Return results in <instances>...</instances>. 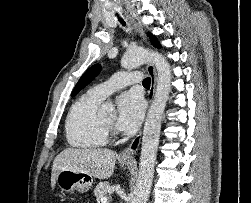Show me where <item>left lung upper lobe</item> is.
Returning a JSON list of instances; mask_svg holds the SVG:
<instances>
[{"instance_id":"left-lung-upper-lobe-1","label":"left lung upper lobe","mask_w":251,"mask_h":203,"mask_svg":"<svg viewBox=\"0 0 251 203\" xmlns=\"http://www.w3.org/2000/svg\"><path fill=\"white\" fill-rule=\"evenodd\" d=\"M151 43L154 47L159 48L160 43L151 33H148ZM101 66L99 64H95L91 66L80 78L76 86L74 87L71 96L76 95L81 89H83L86 85H88L100 72Z\"/></svg>"}]
</instances>
